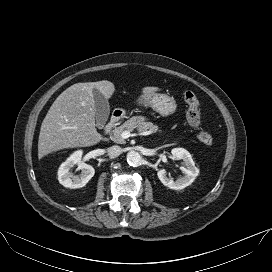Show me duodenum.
Instances as JSON below:
<instances>
[{
    "instance_id": "duodenum-1",
    "label": "duodenum",
    "mask_w": 272,
    "mask_h": 272,
    "mask_svg": "<svg viewBox=\"0 0 272 272\" xmlns=\"http://www.w3.org/2000/svg\"><path fill=\"white\" fill-rule=\"evenodd\" d=\"M124 110L123 109H116L109 122L105 126L104 132L107 134L109 133L124 117Z\"/></svg>"
}]
</instances>
